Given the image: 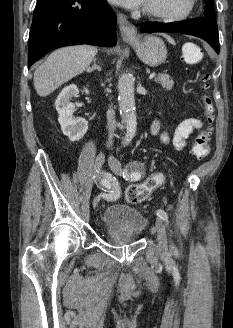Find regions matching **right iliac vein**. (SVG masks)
<instances>
[{
	"label": "right iliac vein",
	"mask_w": 233,
	"mask_h": 328,
	"mask_svg": "<svg viewBox=\"0 0 233 328\" xmlns=\"http://www.w3.org/2000/svg\"><path fill=\"white\" fill-rule=\"evenodd\" d=\"M104 160H105V157H104V154L102 152H100L95 158V170H96V173H97L98 176L100 175V171H101L102 166L104 164ZM99 201H100V197L96 196L93 200V207L94 208L98 205Z\"/></svg>",
	"instance_id": "1"
}]
</instances>
